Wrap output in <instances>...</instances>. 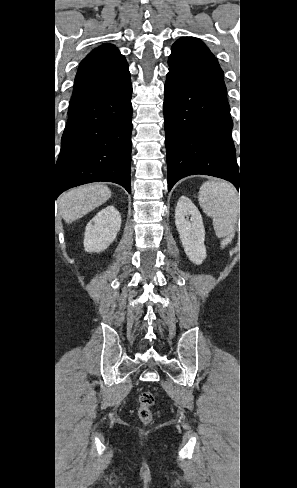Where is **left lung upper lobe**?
<instances>
[{"instance_id": "5c2ea615", "label": "left lung upper lobe", "mask_w": 297, "mask_h": 488, "mask_svg": "<svg viewBox=\"0 0 297 488\" xmlns=\"http://www.w3.org/2000/svg\"><path fill=\"white\" fill-rule=\"evenodd\" d=\"M168 65L169 73L228 104L223 71L217 59L200 40L183 37L176 41Z\"/></svg>"}]
</instances>
